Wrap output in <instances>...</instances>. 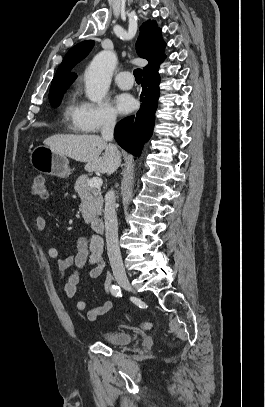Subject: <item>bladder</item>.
<instances>
[{
    "instance_id": "31cf9c89",
    "label": "bladder",
    "mask_w": 265,
    "mask_h": 407,
    "mask_svg": "<svg viewBox=\"0 0 265 407\" xmlns=\"http://www.w3.org/2000/svg\"><path fill=\"white\" fill-rule=\"evenodd\" d=\"M100 339L112 345H125L129 344L133 337L130 333L125 331L113 330L103 332L99 335Z\"/></svg>"
}]
</instances>
